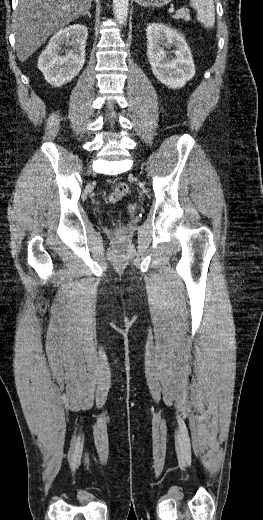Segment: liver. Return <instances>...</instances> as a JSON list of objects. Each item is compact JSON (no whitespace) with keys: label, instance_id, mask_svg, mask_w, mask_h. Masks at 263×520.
Instances as JSON below:
<instances>
[{"label":"liver","instance_id":"6515ba94","mask_svg":"<svg viewBox=\"0 0 263 520\" xmlns=\"http://www.w3.org/2000/svg\"><path fill=\"white\" fill-rule=\"evenodd\" d=\"M92 0H19L14 15L17 57L25 62L49 36L83 15Z\"/></svg>","mask_w":263,"mask_h":520}]
</instances>
